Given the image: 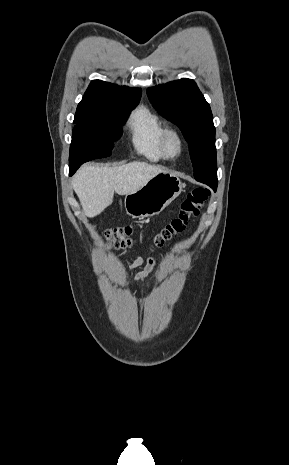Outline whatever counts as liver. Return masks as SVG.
Listing matches in <instances>:
<instances>
[{"label": "liver", "instance_id": "6515ba94", "mask_svg": "<svg viewBox=\"0 0 289 465\" xmlns=\"http://www.w3.org/2000/svg\"><path fill=\"white\" fill-rule=\"evenodd\" d=\"M163 169L145 162L119 167L85 165L74 175L72 186L84 213L95 217L113 202L114 192L127 195L140 189Z\"/></svg>", "mask_w": 289, "mask_h": 465}]
</instances>
